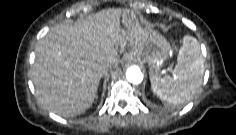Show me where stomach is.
Wrapping results in <instances>:
<instances>
[{"label": "stomach", "mask_w": 236, "mask_h": 135, "mask_svg": "<svg viewBox=\"0 0 236 135\" xmlns=\"http://www.w3.org/2000/svg\"><path fill=\"white\" fill-rule=\"evenodd\" d=\"M131 13L125 20H132ZM170 52L169 42L155 30H146L142 39V45L138 50H131L129 58L146 63L149 66L150 77L159 74Z\"/></svg>", "instance_id": "obj_1"}]
</instances>
